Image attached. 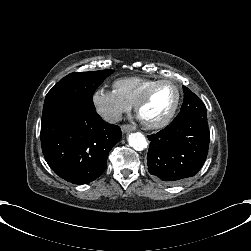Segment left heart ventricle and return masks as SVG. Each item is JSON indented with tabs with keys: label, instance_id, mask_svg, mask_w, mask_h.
<instances>
[{
	"label": "left heart ventricle",
	"instance_id": "b2bd125f",
	"mask_svg": "<svg viewBox=\"0 0 251 251\" xmlns=\"http://www.w3.org/2000/svg\"><path fill=\"white\" fill-rule=\"evenodd\" d=\"M178 87L173 82L161 83L140 111V117L149 123L163 120L178 100Z\"/></svg>",
	"mask_w": 251,
	"mask_h": 251
}]
</instances>
